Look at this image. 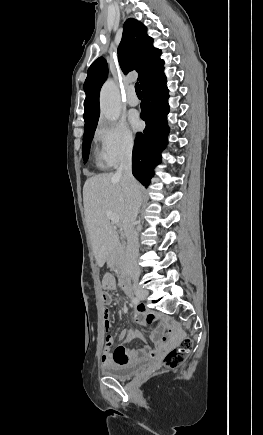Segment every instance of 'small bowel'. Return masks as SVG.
Listing matches in <instances>:
<instances>
[{
	"mask_svg": "<svg viewBox=\"0 0 263 435\" xmlns=\"http://www.w3.org/2000/svg\"><path fill=\"white\" fill-rule=\"evenodd\" d=\"M103 288L109 292H113L116 288V280L113 275L106 274L102 280ZM112 297L107 294V298L103 300L105 305L110 304ZM104 325L105 329L109 330L111 327L110 313L107 308L103 311ZM134 318L136 322L145 326L153 322H163L164 318L151 311H147L141 306H136L134 310ZM137 337L145 342L148 341L147 337L139 331H134L129 333L127 330L123 329L119 332L118 338L121 344L114 350H104L102 354V363L104 366H110L113 364H128L137 362L143 358H157L160 354L168 347L173 346L179 340V334L174 331L169 332L167 335L161 336L157 331H154L150 338L157 344L156 349H152L149 345H146L140 349L130 348L127 346L132 337Z\"/></svg>",
	"mask_w": 263,
	"mask_h": 435,
	"instance_id": "c3829d8e",
	"label": "small bowel"
}]
</instances>
